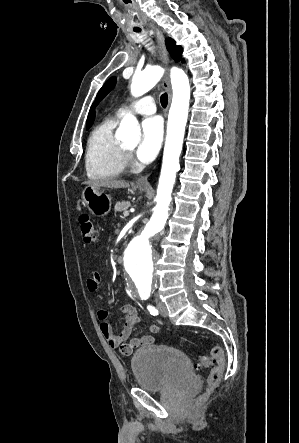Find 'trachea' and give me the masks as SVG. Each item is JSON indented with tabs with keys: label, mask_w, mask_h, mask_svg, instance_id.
<instances>
[{
	"label": "trachea",
	"mask_w": 299,
	"mask_h": 443,
	"mask_svg": "<svg viewBox=\"0 0 299 443\" xmlns=\"http://www.w3.org/2000/svg\"><path fill=\"white\" fill-rule=\"evenodd\" d=\"M136 32H140V30H136ZM161 105L165 108L168 103V96L166 93L162 94L160 97Z\"/></svg>",
	"instance_id": "1"
}]
</instances>
